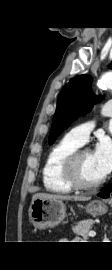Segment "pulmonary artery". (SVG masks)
<instances>
[{
	"instance_id": "1",
	"label": "pulmonary artery",
	"mask_w": 112,
	"mask_h": 270,
	"mask_svg": "<svg viewBox=\"0 0 112 270\" xmlns=\"http://www.w3.org/2000/svg\"><path fill=\"white\" fill-rule=\"evenodd\" d=\"M102 115L107 118H112V102L107 103L102 108ZM93 128H94L93 122L85 123L72 128L68 132V135L82 145L87 141Z\"/></svg>"
}]
</instances>
